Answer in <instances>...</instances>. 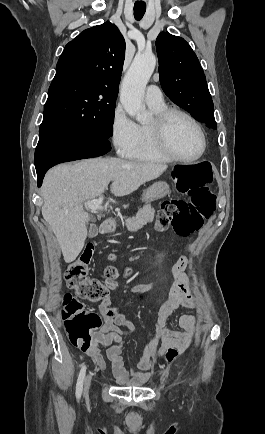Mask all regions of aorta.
I'll return each instance as SVG.
<instances>
[{
  "instance_id": "aorta-1",
  "label": "aorta",
  "mask_w": 265,
  "mask_h": 434,
  "mask_svg": "<svg viewBox=\"0 0 265 434\" xmlns=\"http://www.w3.org/2000/svg\"><path fill=\"white\" fill-rule=\"evenodd\" d=\"M155 66L154 54L135 56L121 84L120 102L125 112L135 118L137 122H148L149 120V114H147L142 100Z\"/></svg>"
}]
</instances>
